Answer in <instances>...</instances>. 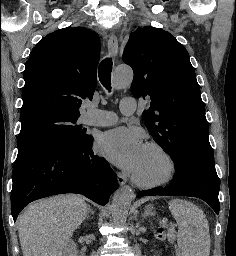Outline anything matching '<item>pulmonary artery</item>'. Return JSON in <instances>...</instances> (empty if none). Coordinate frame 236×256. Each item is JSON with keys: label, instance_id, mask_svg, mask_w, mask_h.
Segmentation results:
<instances>
[{"label": "pulmonary artery", "instance_id": "e3ab8cb5", "mask_svg": "<svg viewBox=\"0 0 236 256\" xmlns=\"http://www.w3.org/2000/svg\"><path fill=\"white\" fill-rule=\"evenodd\" d=\"M125 100L126 101H121L120 111L126 116L133 115L135 112L134 101L136 100V97L126 96ZM106 113L108 115L107 117L87 120L86 124L92 126H111L116 124L118 121L117 115L113 112Z\"/></svg>", "mask_w": 236, "mask_h": 256}]
</instances>
